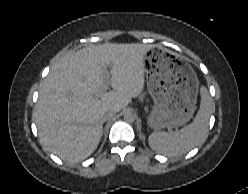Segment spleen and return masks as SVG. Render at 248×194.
Returning <instances> with one entry per match:
<instances>
[{"instance_id":"3e777b00","label":"spleen","mask_w":248,"mask_h":194,"mask_svg":"<svg viewBox=\"0 0 248 194\" xmlns=\"http://www.w3.org/2000/svg\"><path fill=\"white\" fill-rule=\"evenodd\" d=\"M200 94V108L193 122L179 131L150 134L148 143L152 150L166 156H180L205 140L214 104L206 87L200 88Z\"/></svg>"}]
</instances>
